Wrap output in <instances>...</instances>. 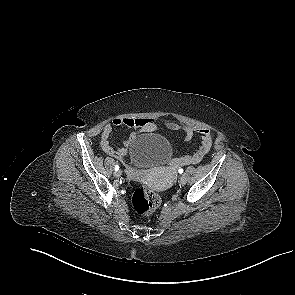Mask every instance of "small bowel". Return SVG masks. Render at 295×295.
I'll return each mask as SVG.
<instances>
[{
	"mask_svg": "<svg viewBox=\"0 0 295 295\" xmlns=\"http://www.w3.org/2000/svg\"><path fill=\"white\" fill-rule=\"evenodd\" d=\"M165 127L172 131H182L184 140L190 141L196 133L200 134V147L193 153L180 157L176 160L178 165L198 164L203 157L207 155L212 148V135L210 130L205 128H195L188 125L176 123L171 120L164 122ZM114 127H125L131 130L129 137L124 141V147L115 148L111 146L109 138ZM159 129L158 124L151 118H127L118 117L105 124L101 132L100 146L102 150L109 156L118 160H124L127 156V148L135 139L136 135L144 132H154Z\"/></svg>",
	"mask_w": 295,
	"mask_h": 295,
	"instance_id": "1",
	"label": "small bowel"
}]
</instances>
